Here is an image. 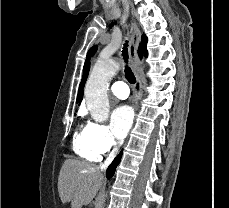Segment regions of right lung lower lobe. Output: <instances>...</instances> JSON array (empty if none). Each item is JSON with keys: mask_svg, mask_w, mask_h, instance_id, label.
<instances>
[{"mask_svg": "<svg viewBox=\"0 0 229 208\" xmlns=\"http://www.w3.org/2000/svg\"><path fill=\"white\" fill-rule=\"evenodd\" d=\"M121 155H122V152L114 159V161L108 167V169L106 171V176L108 179H110L114 175L116 167L118 166V164L121 160Z\"/></svg>", "mask_w": 229, "mask_h": 208, "instance_id": "obj_1", "label": "right lung lower lobe"}]
</instances>
